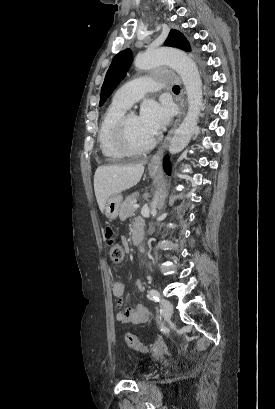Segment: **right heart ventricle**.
Masks as SVG:
<instances>
[{
    "label": "right heart ventricle",
    "mask_w": 275,
    "mask_h": 409,
    "mask_svg": "<svg viewBox=\"0 0 275 409\" xmlns=\"http://www.w3.org/2000/svg\"><path fill=\"white\" fill-rule=\"evenodd\" d=\"M126 110L112 103L102 117L97 140L103 157L126 156V153L120 149L117 140V126Z\"/></svg>",
    "instance_id": "1"
}]
</instances>
